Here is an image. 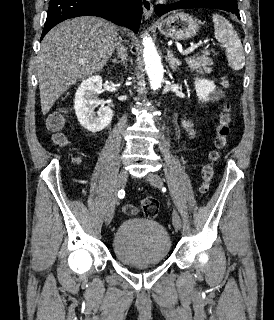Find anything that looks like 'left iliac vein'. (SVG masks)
<instances>
[{"label": "left iliac vein", "instance_id": "obj_1", "mask_svg": "<svg viewBox=\"0 0 274 320\" xmlns=\"http://www.w3.org/2000/svg\"><path fill=\"white\" fill-rule=\"evenodd\" d=\"M147 180L149 181V183L156 187V188H161L162 185H163V181H162V178L158 175V174H155V173H150L147 175ZM172 223H173V226L176 230H180L181 228V217L178 213L177 210H173V213H172Z\"/></svg>", "mask_w": 274, "mask_h": 320}]
</instances>
